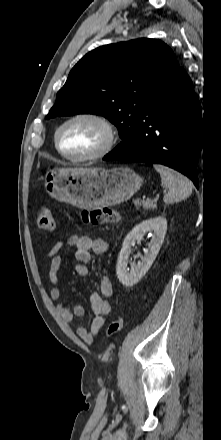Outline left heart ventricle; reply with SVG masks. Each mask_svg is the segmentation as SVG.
Instances as JSON below:
<instances>
[{"label":"left heart ventricle","instance_id":"1","mask_svg":"<svg viewBox=\"0 0 221 440\" xmlns=\"http://www.w3.org/2000/svg\"><path fill=\"white\" fill-rule=\"evenodd\" d=\"M103 129L94 122L79 120L67 125L60 133L62 151L71 156H84L97 151L104 141Z\"/></svg>","mask_w":221,"mask_h":440}]
</instances>
